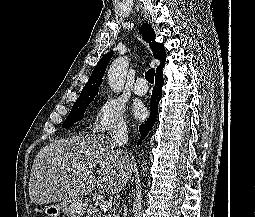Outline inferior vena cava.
<instances>
[{"label":"inferior vena cava","instance_id":"inferior-vena-cava-1","mask_svg":"<svg viewBox=\"0 0 255 217\" xmlns=\"http://www.w3.org/2000/svg\"><path fill=\"white\" fill-rule=\"evenodd\" d=\"M128 133L126 128H120L112 135L113 147H120L127 143Z\"/></svg>","mask_w":255,"mask_h":217}]
</instances>
